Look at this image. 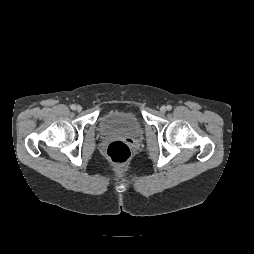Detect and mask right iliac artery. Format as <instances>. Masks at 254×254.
<instances>
[{"label": "right iliac artery", "instance_id": "obj_1", "mask_svg": "<svg viewBox=\"0 0 254 254\" xmlns=\"http://www.w3.org/2000/svg\"><path fill=\"white\" fill-rule=\"evenodd\" d=\"M70 107H71L72 110H75V109H76V105H74V104L71 105Z\"/></svg>", "mask_w": 254, "mask_h": 254}]
</instances>
